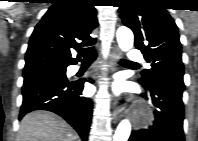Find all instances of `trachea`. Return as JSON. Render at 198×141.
<instances>
[{
	"instance_id": "1",
	"label": "trachea",
	"mask_w": 198,
	"mask_h": 141,
	"mask_svg": "<svg viewBox=\"0 0 198 141\" xmlns=\"http://www.w3.org/2000/svg\"><path fill=\"white\" fill-rule=\"evenodd\" d=\"M80 54L84 57L83 62L85 63H92L97 57V52L93 47L80 50ZM121 62L131 63L126 59H122Z\"/></svg>"
}]
</instances>
